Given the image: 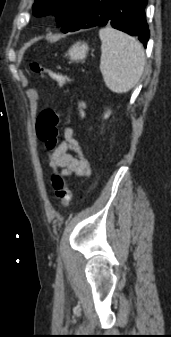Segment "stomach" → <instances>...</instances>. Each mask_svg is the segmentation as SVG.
<instances>
[{
	"label": "stomach",
	"mask_w": 171,
	"mask_h": 337,
	"mask_svg": "<svg viewBox=\"0 0 171 337\" xmlns=\"http://www.w3.org/2000/svg\"><path fill=\"white\" fill-rule=\"evenodd\" d=\"M87 54H88L87 44L78 42L68 50L67 55L73 61H81L86 58Z\"/></svg>",
	"instance_id": "0dacf381"
}]
</instances>
